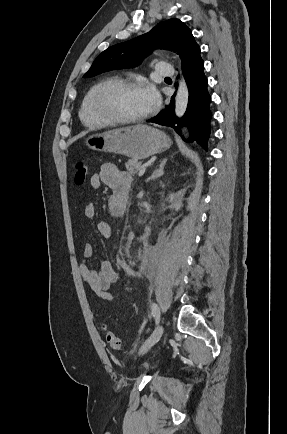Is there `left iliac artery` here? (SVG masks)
<instances>
[{
	"mask_svg": "<svg viewBox=\"0 0 287 434\" xmlns=\"http://www.w3.org/2000/svg\"><path fill=\"white\" fill-rule=\"evenodd\" d=\"M151 311L154 318H158L160 316V310L156 303L152 304Z\"/></svg>",
	"mask_w": 287,
	"mask_h": 434,
	"instance_id": "1",
	"label": "left iliac artery"
}]
</instances>
